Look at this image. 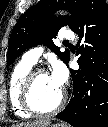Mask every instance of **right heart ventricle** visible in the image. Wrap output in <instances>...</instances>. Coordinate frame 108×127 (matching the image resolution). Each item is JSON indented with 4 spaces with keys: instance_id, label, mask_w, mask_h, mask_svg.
I'll list each match as a JSON object with an SVG mask.
<instances>
[{
    "instance_id": "1",
    "label": "right heart ventricle",
    "mask_w": 108,
    "mask_h": 127,
    "mask_svg": "<svg viewBox=\"0 0 108 127\" xmlns=\"http://www.w3.org/2000/svg\"><path fill=\"white\" fill-rule=\"evenodd\" d=\"M33 65L20 61L13 70L9 77L8 96L14 113L20 118H29L31 116L21 105L20 102V89L26 75L32 70Z\"/></svg>"
}]
</instances>
